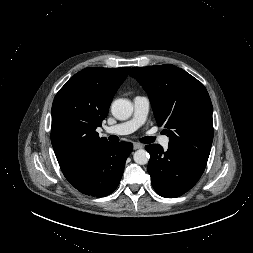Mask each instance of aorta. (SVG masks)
I'll use <instances>...</instances> for the list:
<instances>
[{"instance_id": "1", "label": "aorta", "mask_w": 253, "mask_h": 253, "mask_svg": "<svg viewBox=\"0 0 253 253\" xmlns=\"http://www.w3.org/2000/svg\"><path fill=\"white\" fill-rule=\"evenodd\" d=\"M112 115L118 120H126L133 113V104L128 99H117L111 105ZM149 153L144 149L137 150L134 155V161L139 165H145L149 161Z\"/></svg>"}]
</instances>
